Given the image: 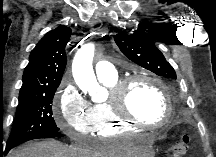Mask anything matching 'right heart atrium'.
Here are the masks:
<instances>
[{"instance_id":"1","label":"right heart atrium","mask_w":216,"mask_h":157,"mask_svg":"<svg viewBox=\"0 0 216 157\" xmlns=\"http://www.w3.org/2000/svg\"><path fill=\"white\" fill-rule=\"evenodd\" d=\"M54 116L56 124L70 137L94 132L92 105L70 81L63 82L60 87Z\"/></svg>"}]
</instances>
